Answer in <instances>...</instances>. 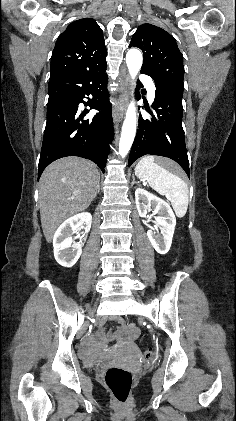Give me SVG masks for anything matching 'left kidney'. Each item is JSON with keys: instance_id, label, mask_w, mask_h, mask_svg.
Returning <instances> with one entry per match:
<instances>
[{"instance_id": "left-kidney-1", "label": "left kidney", "mask_w": 236, "mask_h": 421, "mask_svg": "<svg viewBox=\"0 0 236 421\" xmlns=\"http://www.w3.org/2000/svg\"><path fill=\"white\" fill-rule=\"evenodd\" d=\"M135 202L140 217H146L149 206L153 208V215H159V217H155L156 221H154L155 227H158V229L150 227V231H147V237L159 255H166L171 247L176 225L171 206L163 198L151 194L144 188H136ZM157 231H161V233H157Z\"/></svg>"}]
</instances>
